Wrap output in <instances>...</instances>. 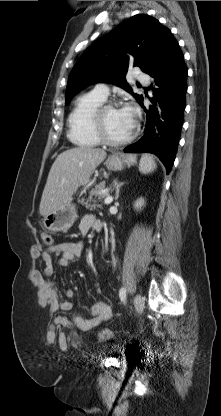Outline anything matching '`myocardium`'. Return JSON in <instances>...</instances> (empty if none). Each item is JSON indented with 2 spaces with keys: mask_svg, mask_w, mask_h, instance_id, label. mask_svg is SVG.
<instances>
[{
  "mask_svg": "<svg viewBox=\"0 0 221 416\" xmlns=\"http://www.w3.org/2000/svg\"><path fill=\"white\" fill-rule=\"evenodd\" d=\"M118 108V104L114 102H106L101 104L94 113L93 117V129L100 140L101 143L112 146V147H119L128 144L131 142L136 134V124L133 126V129L128 137L122 140H114L112 139L105 128L104 123V114L107 110Z\"/></svg>",
  "mask_w": 221,
  "mask_h": 416,
  "instance_id": "f54148a6",
  "label": "myocardium"
}]
</instances>
